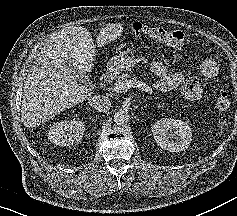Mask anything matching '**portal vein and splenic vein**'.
Masks as SVG:
<instances>
[{
    "label": "portal vein and splenic vein",
    "instance_id": "portal-vein-and-splenic-vein-1",
    "mask_svg": "<svg viewBox=\"0 0 237 216\" xmlns=\"http://www.w3.org/2000/svg\"><path fill=\"white\" fill-rule=\"evenodd\" d=\"M130 83H131V85L128 82H124V81L119 82L118 81L114 84L113 91L119 93L123 90L129 89V88L133 87V83L131 81H130Z\"/></svg>",
    "mask_w": 237,
    "mask_h": 216
}]
</instances>
